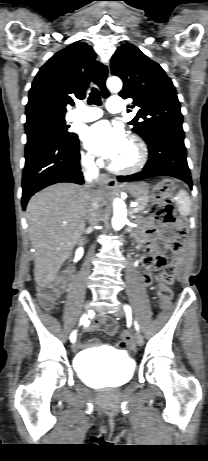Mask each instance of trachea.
I'll use <instances>...</instances> for the list:
<instances>
[{
    "mask_svg": "<svg viewBox=\"0 0 208 461\" xmlns=\"http://www.w3.org/2000/svg\"><path fill=\"white\" fill-rule=\"evenodd\" d=\"M106 75H107L106 67L100 62H97L96 67H95L94 76H93V81L100 87L102 94L105 98L108 96L104 88V81H105ZM88 103L90 105L91 104H95L98 106L101 105L100 93L97 88L94 87L91 89V92L88 98Z\"/></svg>",
    "mask_w": 208,
    "mask_h": 461,
    "instance_id": "trachea-1",
    "label": "trachea"
}]
</instances>
